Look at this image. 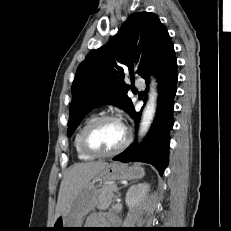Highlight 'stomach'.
<instances>
[{
  "mask_svg": "<svg viewBox=\"0 0 231 231\" xmlns=\"http://www.w3.org/2000/svg\"><path fill=\"white\" fill-rule=\"evenodd\" d=\"M140 165L127 166L118 162L110 163L92 182L86 185L72 200L65 214L60 215L53 224L54 231L77 230L82 228L83 218L96 207H99L98 195L103 183L111 180H133L144 176ZM66 228V229H65Z\"/></svg>",
  "mask_w": 231,
  "mask_h": 231,
  "instance_id": "obj_1",
  "label": "stomach"
}]
</instances>
